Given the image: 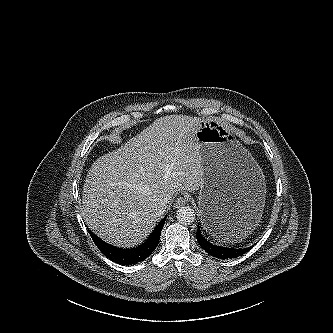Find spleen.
Returning a JSON list of instances; mask_svg holds the SVG:
<instances>
[{"mask_svg":"<svg viewBox=\"0 0 333 333\" xmlns=\"http://www.w3.org/2000/svg\"><path fill=\"white\" fill-rule=\"evenodd\" d=\"M247 223L240 224L239 227H231L222 237L224 241H233L246 237L254 227L246 226Z\"/></svg>","mask_w":333,"mask_h":333,"instance_id":"obj_1","label":"spleen"}]
</instances>
